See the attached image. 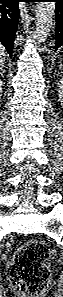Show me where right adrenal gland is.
Instances as JSON below:
<instances>
[{
    "label": "right adrenal gland",
    "mask_w": 63,
    "mask_h": 297,
    "mask_svg": "<svg viewBox=\"0 0 63 297\" xmlns=\"http://www.w3.org/2000/svg\"><path fill=\"white\" fill-rule=\"evenodd\" d=\"M0 70H1V74L4 73V70H3V63H2V65L0 64Z\"/></svg>",
    "instance_id": "right-adrenal-gland-1"
}]
</instances>
